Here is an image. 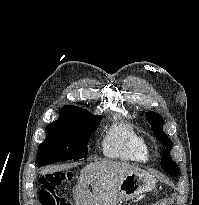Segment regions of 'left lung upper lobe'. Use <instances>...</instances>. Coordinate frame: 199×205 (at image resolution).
I'll return each instance as SVG.
<instances>
[{
  "mask_svg": "<svg viewBox=\"0 0 199 205\" xmlns=\"http://www.w3.org/2000/svg\"><path fill=\"white\" fill-rule=\"evenodd\" d=\"M148 123L151 124V128L153 130L156 138L163 144L166 148L163 150V157L161 160V167L165 171L171 173L174 176H177L179 173L178 165L172 160L170 156V150L172 148L171 139L163 131V118L161 115L156 114L154 112L147 113Z\"/></svg>",
  "mask_w": 199,
  "mask_h": 205,
  "instance_id": "obj_1",
  "label": "left lung upper lobe"
}]
</instances>
